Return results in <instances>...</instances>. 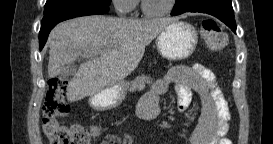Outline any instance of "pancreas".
<instances>
[{
    "instance_id": "1",
    "label": "pancreas",
    "mask_w": 273,
    "mask_h": 144,
    "mask_svg": "<svg viewBox=\"0 0 273 144\" xmlns=\"http://www.w3.org/2000/svg\"><path fill=\"white\" fill-rule=\"evenodd\" d=\"M152 81L153 80L149 76H138L131 83L128 84L127 90H129L130 92L143 90L145 88V84H151Z\"/></svg>"
}]
</instances>
